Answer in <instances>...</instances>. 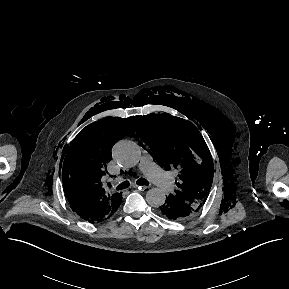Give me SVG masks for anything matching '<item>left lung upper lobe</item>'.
<instances>
[{
  "label": "left lung upper lobe",
  "mask_w": 289,
  "mask_h": 289,
  "mask_svg": "<svg viewBox=\"0 0 289 289\" xmlns=\"http://www.w3.org/2000/svg\"><path fill=\"white\" fill-rule=\"evenodd\" d=\"M138 123L137 133L148 143L153 158L165 169L179 171V188L169 196L198 211L213 181L212 157L199 130L184 119L164 114L140 117Z\"/></svg>",
  "instance_id": "left-lung-upper-lobe-1"
}]
</instances>
